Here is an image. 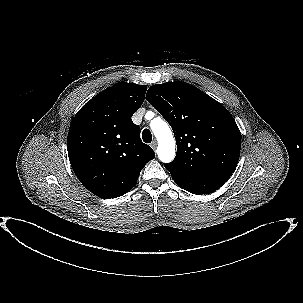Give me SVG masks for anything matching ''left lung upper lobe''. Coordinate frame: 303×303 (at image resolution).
Listing matches in <instances>:
<instances>
[{"instance_id": "obj_1", "label": "left lung upper lobe", "mask_w": 303, "mask_h": 303, "mask_svg": "<svg viewBox=\"0 0 303 303\" xmlns=\"http://www.w3.org/2000/svg\"><path fill=\"white\" fill-rule=\"evenodd\" d=\"M146 99L175 135L177 154L167 167L192 174L234 172L240 156V130L222 104L181 81L151 86Z\"/></svg>"}]
</instances>
